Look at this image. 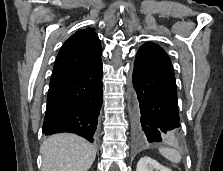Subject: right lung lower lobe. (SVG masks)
<instances>
[{
	"label": "right lung lower lobe",
	"instance_id": "1",
	"mask_svg": "<svg viewBox=\"0 0 223 171\" xmlns=\"http://www.w3.org/2000/svg\"><path fill=\"white\" fill-rule=\"evenodd\" d=\"M102 61L93 67L50 82L43 133L78 134L95 141L102 105Z\"/></svg>",
	"mask_w": 223,
	"mask_h": 171
}]
</instances>
